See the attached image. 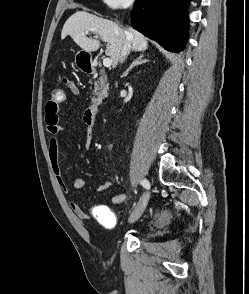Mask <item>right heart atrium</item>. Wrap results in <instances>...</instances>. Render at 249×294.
<instances>
[{"instance_id":"d8ad5b80","label":"right heart atrium","mask_w":249,"mask_h":294,"mask_svg":"<svg viewBox=\"0 0 249 294\" xmlns=\"http://www.w3.org/2000/svg\"><path fill=\"white\" fill-rule=\"evenodd\" d=\"M135 0H103V2L110 8L119 9L127 8L133 5Z\"/></svg>"}]
</instances>
